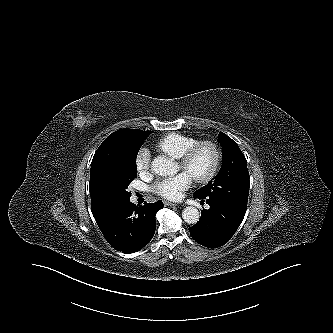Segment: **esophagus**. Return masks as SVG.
Listing matches in <instances>:
<instances>
[{
  "mask_svg": "<svg viewBox=\"0 0 333 333\" xmlns=\"http://www.w3.org/2000/svg\"><path fill=\"white\" fill-rule=\"evenodd\" d=\"M165 206H177L178 204L173 203V202H169V201H164L163 202Z\"/></svg>",
  "mask_w": 333,
  "mask_h": 333,
  "instance_id": "1",
  "label": "esophagus"
}]
</instances>
